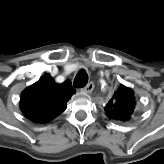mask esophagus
<instances>
[{"label": "esophagus", "mask_w": 164, "mask_h": 164, "mask_svg": "<svg viewBox=\"0 0 164 164\" xmlns=\"http://www.w3.org/2000/svg\"><path fill=\"white\" fill-rule=\"evenodd\" d=\"M93 89H94V83L90 82L82 89V91L89 94L93 91Z\"/></svg>", "instance_id": "obj_1"}]
</instances>
